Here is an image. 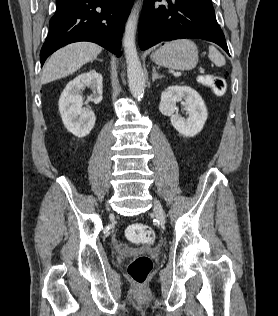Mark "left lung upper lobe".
<instances>
[{
	"label": "left lung upper lobe",
	"instance_id": "left-lung-upper-lobe-1",
	"mask_svg": "<svg viewBox=\"0 0 278 316\" xmlns=\"http://www.w3.org/2000/svg\"><path fill=\"white\" fill-rule=\"evenodd\" d=\"M197 1H199V2L205 4V5H207V6H209L210 8L213 9V5H212L211 0H197Z\"/></svg>",
	"mask_w": 278,
	"mask_h": 316
}]
</instances>
